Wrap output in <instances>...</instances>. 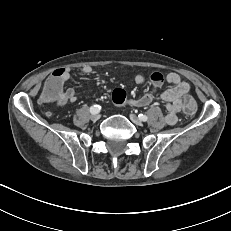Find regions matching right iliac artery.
Here are the masks:
<instances>
[{
	"label": "right iliac artery",
	"mask_w": 231,
	"mask_h": 231,
	"mask_svg": "<svg viewBox=\"0 0 231 231\" xmlns=\"http://www.w3.org/2000/svg\"><path fill=\"white\" fill-rule=\"evenodd\" d=\"M101 110V106L100 105H93L90 107V113L91 114H97L99 113Z\"/></svg>",
	"instance_id": "1"
}]
</instances>
